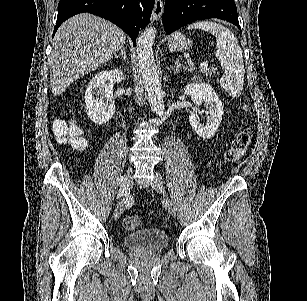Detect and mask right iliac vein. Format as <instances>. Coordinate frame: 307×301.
Returning a JSON list of instances; mask_svg holds the SVG:
<instances>
[{
  "label": "right iliac vein",
  "instance_id": "1",
  "mask_svg": "<svg viewBox=\"0 0 307 301\" xmlns=\"http://www.w3.org/2000/svg\"><path fill=\"white\" fill-rule=\"evenodd\" d=\"M131 178H132V168H129L128 171H127V174L124 175L122 178H121V184H120V190L119 191H122V198L119 199L116 207H115V211H114V218L115 220H118L122 213H123V200L125 197H127V191L130 187V183H131Z\"/></svg>",
  "mask_w": 307,
  "mask_h": 301
}]
</instances>
